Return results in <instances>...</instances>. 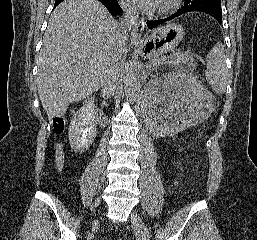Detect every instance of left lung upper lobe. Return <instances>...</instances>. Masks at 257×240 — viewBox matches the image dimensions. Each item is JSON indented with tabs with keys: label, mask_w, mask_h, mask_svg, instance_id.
Wrapping results in <instances>:
<instances>
[{
	"label": "left lung upper lobe",
	"mask_w": 257,
	"mask_h": 240,
	"mask_svg": "<svg viewBox=\"0 0 257 240\" xmlns=\"http://www.w3.org/2000/svg\"><path fill=\"white\" fill-rule=\"evenodd\" d=\"M206 4H221V0H184V6H201Z\"/></svg>",
	"instance_id": "obj_1"
}]
</instances>
